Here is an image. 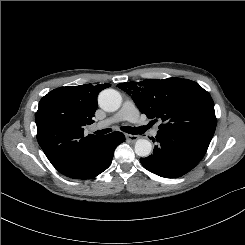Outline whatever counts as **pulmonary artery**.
I'll use <instances>...</instances> for the list:
<instances>
[{
    "instance_id": "obj_1",
    "label": "pulmonary artery",
    "mask_w": 245,
    "mask_h": 245,
    "mask_svg": "<svg viewBox=\"0 0 245 245\" xmlns=\"http://www.w3.org/2000/svg\"><path fill=\"white\" fill-rule=\"evenodd\" d=\"M128 120L130 122H139V114L134 104L131 101H125L122 108L112 117L100 121L96 124V128H104L112 123ZM158 132V126L152 130V134L156 135Z\"/></svg>"
}]
</instances>
